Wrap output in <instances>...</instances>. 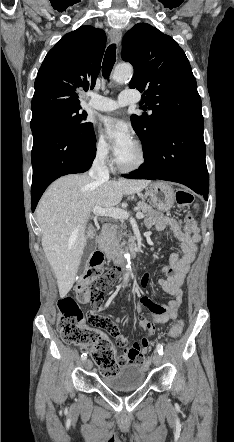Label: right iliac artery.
<instances>
[{
  "mask_svg": "<svg viewBox=\"0 0 234 442\" xmlns=\"http://www.w3.org/2000/svg\"><path fill=\"white\" fill-rule=\"evenodd\" d=\"M86 358H87V354H86V353H83V354L81 355V359H82V360H86Z\"/></svg>",
  "mask_w": 234,
  "mask_h": 442,
  "instance_id": "obj_1",
  "label": "right iliac artery"
}]
</instances>
